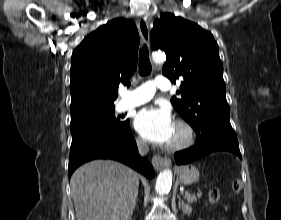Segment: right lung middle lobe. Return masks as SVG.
Segmentation results:
<instances>
[{
	"instance_id": "obj_1",
	"label": "right lung middle lobe",
	"mask_w": 281,
	"mask_h": 220,
	"mask_svg": "<svg viewBox=\"0 0 281 220\" xmlns=\"http://www.w3.org/2000/svg\"><path fill=\"white\" fill-rule=\"evenodd\" d=\"M114 115V108L102 112L92 113L71 119L70 130L72 135L86 130L104 129L116 131L129 124V120Z\"/></svg>"
}]
</instances>
